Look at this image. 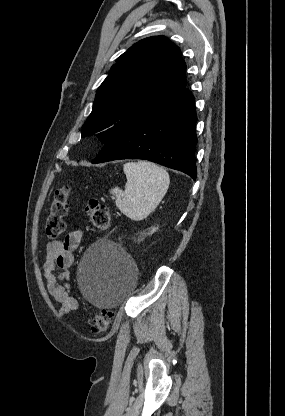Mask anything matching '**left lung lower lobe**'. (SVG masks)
Here are the masks:
<instances>
[{
	"instance_id": "1",
	"label": "left lung lower lobe",
	"mask_w": 285,
	"mask_h": 416,
	"mask_svg": "<svg viewBox=\"0 0 285 416\" xmlns=\"http://www.w3.org/2000/svg\"><path fill=\"white\" fill-rule=\"evenodd\" d=\"M195 99L188 89L160 108L133 121L101 149L92 163L145 159L197 176Z\"/></svg>"
}]
</instances>
